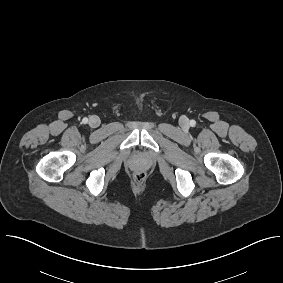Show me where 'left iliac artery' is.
I'll return each mask as SVG.
<instances>
[{
	"instance_id": "1",
	"label": "left iliac artery",
	"mask_w": 283,
	"mask_h": 283,
	"mask_svg": "<svg viewBox=\"0 0 283 283\" xmlns=\"http://www.w3.org/2000/svg\"><path fill=\"white\" fill-rule=\"evenodd\" d=\"M190 125H191L192 127H194V126L196 125V121H195V120H191V121H190Z\"/></svg>"
}]
</instances>
